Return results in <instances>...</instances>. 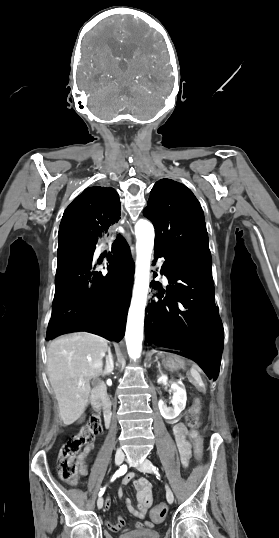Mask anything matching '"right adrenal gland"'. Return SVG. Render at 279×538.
I'll return each instance as SVG.
<instances>
[{
  "instance_id": "obj_1",
  "label": "right adrenal gland",
  "mask_w": 279,
  "mask_h": 538,
  "mask_svg": "<svg viewBox=\"0 0 279 538\" xmlns=\"http://www.w3.org/2000/svg\"><path fill=\"white\" fill-rule=\"evenodd\" d=\"M114 368V360L110 348H108V356H106V366L103 370V374H110Z\"/></svg>"
}]
</instances>
